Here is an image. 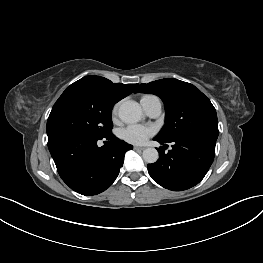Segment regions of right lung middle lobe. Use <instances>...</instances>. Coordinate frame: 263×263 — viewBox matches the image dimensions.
<instances>
[{
  "label": "right lung middle lobe",
  "mask_w": 263,
  "mask_h": 263,
  "mask_svg": "<svg viewBox=\"0 0 263 263\" xmlns=\"http://www.w3.org/2000/svg\"><path fill=\"white\" fill-rule=\"evenodd\" d=\"M114 102L83 88L66 89L54 104L47 121L48 139L81 134L95 137L111 135Z\"/></svg>",
  "instance_id": "dd1d6c3e"
}]
</instances>
